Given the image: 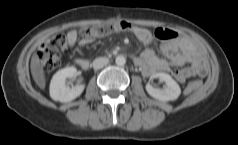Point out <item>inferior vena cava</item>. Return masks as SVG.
I'll return each instance as SVG.
<instances>
[{"mask_svg":"<svg viewBox=\"0 0 238 145\" xmlns=\"http://www.w3.org/2000/svg\"><path fill=\"white\" fill-rule=\"evenodd\" d=\"M109 62V59L106 57H99L96 58L93 63L92 66L95 70L101 69L103 68L105 65H107Z\"/></svg>","mask_w":238,"mask_h":145,"instance_id":"1","label":"inferior vena cava"}]
</instances>
